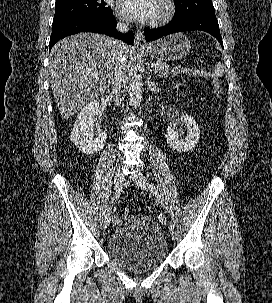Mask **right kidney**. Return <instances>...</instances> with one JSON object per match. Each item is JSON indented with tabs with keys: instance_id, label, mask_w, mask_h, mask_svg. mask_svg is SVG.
<instances>
[{
	"instance_id": "right-kidney-1",
	"label": "right kidney",
	"mask_w": 272,
	"mask_h": 303,
	"mask_svg": "<svg viewBox=\"0 0 272 303\" xmlns=\"http://www.w3.org/2000/svg\"><path fill=\"white\" fill-rule=\"evenodd\" d=\"M99 102H89L77 116L71 131V141L85 154H93L103 149L107 134L102 132L94 138V122L99 114Z\"/></svg>"
}]
</instances>
